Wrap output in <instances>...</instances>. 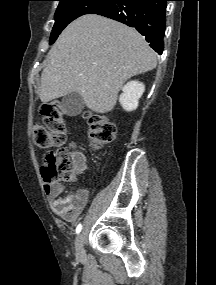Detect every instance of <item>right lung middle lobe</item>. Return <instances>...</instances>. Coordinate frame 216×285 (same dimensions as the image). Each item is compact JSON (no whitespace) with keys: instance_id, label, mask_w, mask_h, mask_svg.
<instances>
[{"instance_id":"1","label":"right lung middle lobe","mask_w":216,"mask_h":285,"mask_svg":"<svg viewBox=\"0 0 216 285\" xmlns=\"http://www.w3.org/2000/svg\"><path fill=\"white\" fill-rule=\"evenodd\" d=\"M60 1L55 13V24L50 35V44L55 42L62 30L76 18L92 13L113 0H57Z\"/></svg>"}]
</instances>
